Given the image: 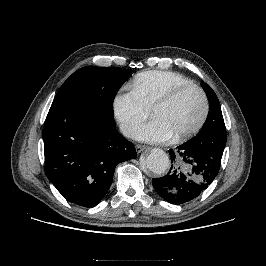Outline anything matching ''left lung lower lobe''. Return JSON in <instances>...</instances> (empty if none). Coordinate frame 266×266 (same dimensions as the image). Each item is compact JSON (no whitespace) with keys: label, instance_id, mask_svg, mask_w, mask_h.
<instances>
[{"label":"left lung lower lobe","instance_id":"left-lung-lower-lobe-1","mask_svg":"<svg viewBox=\"0 0 266 266\" xmlns=\"http://www.w3.org/2000/svg\"><path fill=\"white\" fill-rule=\"evenodd\" d=\"M172 165L167 175L152 184L163 199L182 204L198 197L217 176L221 159L188 148L185 144L169 150Z\"/></svg>","mask_w":266,"mask_h":266}]
</instances>
